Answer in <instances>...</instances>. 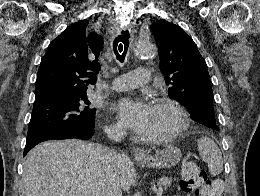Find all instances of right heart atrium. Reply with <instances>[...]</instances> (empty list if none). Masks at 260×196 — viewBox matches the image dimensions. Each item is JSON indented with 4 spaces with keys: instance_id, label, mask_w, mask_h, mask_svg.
<instances>
[{
    "instance_id": "obj_1",
    "label": "right heart atrium",
    "mask_w": 260,
    "mask_h": 196,
    "mask_svg": "<svg viewBox=\"0 0 260 196\" xmlns=\"http://www.w3.org/2000/svg\"><path fill=\"white\" fill-rule=\"evenodd\" d=\"M109 128L111 129H119L120 126L118 124H115V123H111L110 125H108Z\"/></svg>"
}]
</instances>
